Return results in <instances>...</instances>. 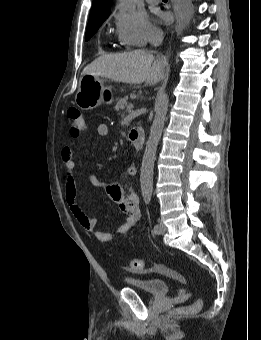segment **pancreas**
Wrapping results in <instances>:
<instances>
[{
    "label": "pancreas",
    "instance_id": "obj_1",
    "mask_svg": "<svg viewBox=\"0 0 261 340\" xmlns=\"http://www.w3.org/2000/svg\"><path fill=\"white\" fill-rule=\"evenodd\" d=\"M128 96H125L123 98H120L115 106V110L119 111L127 107Z\"/></svg>",
    "mask_w": 261,
    "mask_h": 340
}]
</instances>
